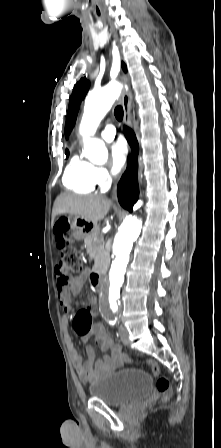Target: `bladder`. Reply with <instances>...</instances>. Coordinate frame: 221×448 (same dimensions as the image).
I'll use <instances>...</instances> for the list:
<instances>
[{
    "instance_id": "31cf9c89",
    "label": "bladder",
    "mask_w": 221,
    "mask_h": 448,
    "mask_svg": "<svg viewBox=\"0 0 221 448\" xmlns=\"http://www.w3.org/2000/svg\"><path fill=\"white\" fill-rule=\"evenodd\" d=\"M152 388V378L145 371L119 368L92 381L88 390L91 398L120 407L148 397Z\"/></svg>"
}]
</instances>
